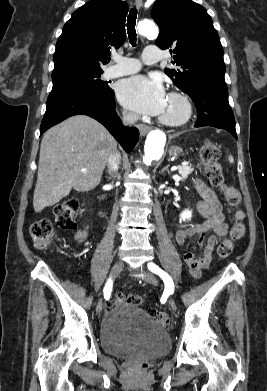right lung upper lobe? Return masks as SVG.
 Wrapping results in <instances>:
<instances>
[{
	"mask_svg": "<svg viewBox=\"0 0 267 391\" xmlns=\"http://www.w3.org/2000/svg\"><path fill=\"white\" fill-rule=\"evenodd\" d=\"M128 5L120 0H92L77 9L56 43L53 76L98 72L110 50L125 40Z\"/></svg>",
	"mask_w": 267,
	"mask_h": 391,
	"instance_id": "cb5924a9",
	"label": "right lung upper lobe"
}]
</instances>
